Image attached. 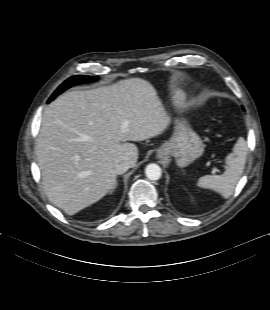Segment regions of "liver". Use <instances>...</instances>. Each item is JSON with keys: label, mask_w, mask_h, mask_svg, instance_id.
Returning <instances> with one entry per match:
<instances>
[{"label": "liver", "mask_w": 270, "mask_h": 310, "mask_svg": "<svg viewBox=\"0 0 270 310\" xmlns=\"http://www.w3.org/2000/svg\"><path fill=\"white\" fill-rule=\"evenodd\" d=\"M154 87L144 79L120 80L60 95L45 110L36 144L49 200L68 215L92 205L116 185L114 165H136L138 148L170 125Z\"/></svg>", "instance_id": "1"}]
</instances>
